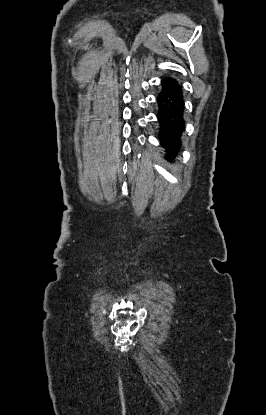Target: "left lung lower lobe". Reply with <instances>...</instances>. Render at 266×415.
Listing matches in <instances>:
<instances>
[{"mask_svg": "<svg viewBox=\"0 0 266 415\" xmlns=\"http://www.w3.org/2000/svg\"><path fill=\"white\" fill-rule=\"evenodd\" d=\"M162 89L157 97L160 124L159 139L161 145L169 154L166 158H173L180 150L181 135L185 130L184 100L182 86L175 78L162 79Z\"/></svg>", "mask_w": 266, "mask_h": 415, "instance_id": "left-lung-lower-lobe-1", "label": "left lung lower lobe"}]
</instances>
